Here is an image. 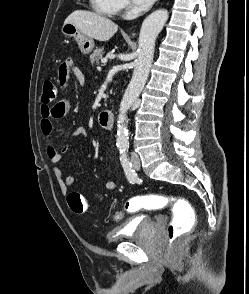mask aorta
Wrapping results in <instances>:
<instances>
[{
  "label": "aorta",
  "instance_id": "1",
  "mask_svg": "<svg viewBox=\"0 0 249 294\" xmlns=\"http://www.w3.org/2000/svg\"><path fill=\"white\" fill-rule=\"evenodd\" d=\"M167 20L168 12L160 9L150 14L142 23L132 79L119 107L116 136L118 147L129 145L127 112L144 88L153 61L156 38Z\"/></svg>",
  "mask_w": 249,
  "mask_h": 294
}]
</instances>
